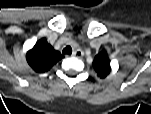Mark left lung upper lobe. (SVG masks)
Returning a JSON list of instances; mask_svg holds the SVG:
<instances>
[{
	"mask_svg": "<svg viewBox=\"0 0 151 114\" xmlns=\"http://www.w3.org/2000/svg\"><path fill=\"white\" fill-rule=\"evenodd\" d=\"M93 67L100 78H105L110 74V61L105 51H102L95 56Z\"/></svg>",
	"mask_w": 151,
	"mask_h": 114,
	"instance_id": "obj_1",
	"label": "left lung upper lobe"
}]
</instances>
